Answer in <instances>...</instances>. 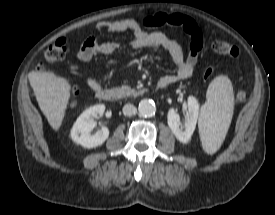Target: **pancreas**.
<instances>
[{
  "label": "pancreas",
  "instance_id": "obj_1",
  "mask_svg": "<svg viewBox=\"0 0 275 215\" xmlns=\"http://www.w3.org/2000/svg\"><path fill=\"white\" fill-rule=\"evenodd\" d=\"M116 90L121 97H129V96L136 97L140 94H143L144 92V90L137 91L134 88H131L129 86H124V85L121 87H118Z\"/></svg>",
  "mask_w": 275,
  "mask_h": 215
}]
</instances>
